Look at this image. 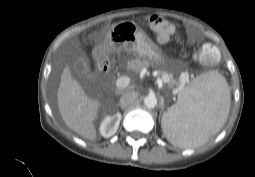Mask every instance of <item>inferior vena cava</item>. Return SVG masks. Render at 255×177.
I'll return each mask as SVG.
<instances>
[{
	"mask_svg": "<svg viewBox=\"0 0 255 177\" xmlns=\"http://www.w3.org/2000/svg\"><path fill=\"white\" fill-rule=\"evenodd\" d=\"M138 97L137 92H126L122 97L120 98V106L121 107H127L128 105L132 104Z\"/></svg>",
	"mask_w": 255,
	"mask_h": 177,
	"instance_id": "inferior-vena-cava-1",
	"label": "inferior vena cava"
}]
</instances>
